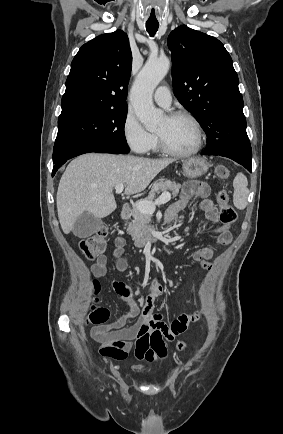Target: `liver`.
Returning a JSON list of instances; mask_svg holds the SVG:
<instances>
[{
    "instance_id": "liver-1",
    "label": "liver",
    "mask_w": 283,
    "mask_h": 434,
    "mask_svg": "<svg viewBox=\"0 0 283 434\" xmlns=\"http://www.w3.org/2000/svg\"><path fill=\"white\" fill-rule=\"evenodd\" d=\"M172 159H147L131 155L88 153L72 160L57 191V211L65 234L85 212L104 218L117 207L113 188L126 184L124 193L145 190Z\"/></svg>"
}]
</instances>
